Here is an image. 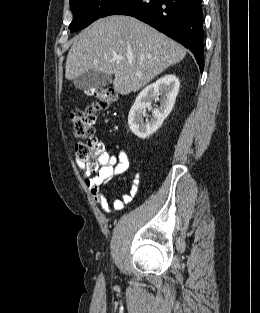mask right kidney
<instances>
[{"instance_id": "ca27d5eb", "label": "right kidney", "mask_w": 260, "mask_h": 313, "mask_svg": "<svg viewBox=\"0 0 260 313\" xmlns=\"http://www.w3.org/2000/svg\"><path fill=\"white\" fill-rule=\"evenodd\" d=\"M180 83L173 74H167L143 89L137 96L128 115V124L131 131L139 138L145 139L155 133L172 111ZM162 95L160 107L152 111V118L144 121L143 113L151 108L153 99Z\"/></svg>"}]
</instances>
